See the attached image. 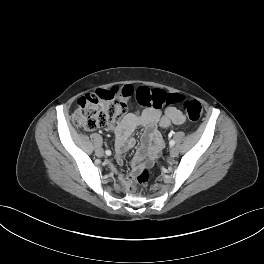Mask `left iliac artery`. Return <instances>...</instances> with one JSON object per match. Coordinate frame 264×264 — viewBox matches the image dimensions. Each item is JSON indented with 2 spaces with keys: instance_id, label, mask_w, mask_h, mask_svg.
<instances>
[{
  "instance_id": "obj_1",
  "label": "left iliac artery",
  "mask_w": 264,
  "mask_h": 264,
  "mask_svg": "<svg viewBox=\"0 0 264 264\" xmlns=\"http://www.w3.org/2000/svg\"><path fill=\"white\" fill-rule=\"evenodd\" d=\"M170 136H172V133H170ZM174 144H175V141L174 140H170L169 145L170 146H174Z\"/></svg>"
}]
</instances>
